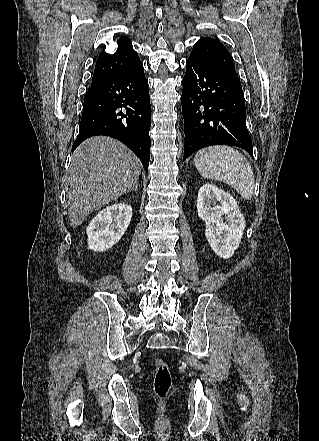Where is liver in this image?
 <instances>
[{
  "label": "liver",
  "mask_w": 319,
  "mask_h": 441,
  "mask_svg": "<svg viewBox=\"0 0 319 441\" xmlns=\"http://www.w3.org/2000/svg\"><path fill=\"white\" fill-rule=\"evenodd\" d=\"M142 164L121 142L90 137L72 155L66 175V205L77 228L91 213L134 189Z\"/></svg>",
  "instance_id": "1"
}]
</instances>
